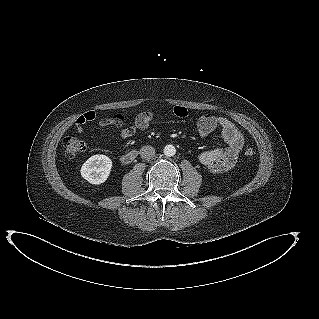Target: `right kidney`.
<instances>
[{"label":"right kidney","instance_id":"ca27d5eb","mask_svg":"<svg viewBox=\"0 0 319 319\" xmlns=\"http://www.w3.org/2000/svg\"><path fill=\"white\" fill-rule=\"evenodd\" d=\"M112 160L105 155L91 156L81 167V176L91 184H102L110 175Z\"/></svg>","mask_w":319,"mask_h":319}]
</instances>
